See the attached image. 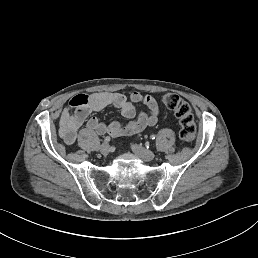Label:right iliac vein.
Instances as JSON below:
<instances>
[{
    "label": "right iliac vein",
    "instance_id": "1",
    "mask_svg": "<svg viewBox=\"0 0 258 258\" xmlns=\"http://www.w3.org/2000/svg\"><path fill=\"white\" fill-rule=\"evenodd\" d=\"M99 151L104 154V155H107L110 153L111 151V146L109 143L107 142H104L102 143L100 146H99Z\"/></svg>",
    "mask_w": 258,
    "mask_h": 258
}]
</instances>
